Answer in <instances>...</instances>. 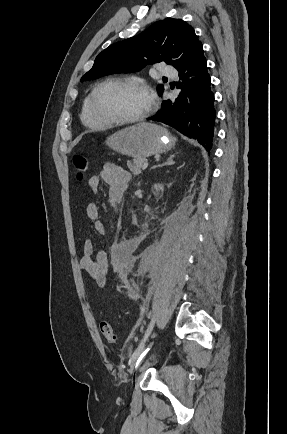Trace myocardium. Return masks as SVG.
Listing matches in <instances>:
<instances>
[{
    "instance_id": "f54148a6",
    "label": "myocardium",
    "mask_w": 287,
    "mask_h": 434,
    "mask_svg": "<svg viewBox=\"0 0 287 434\" xmlns=\"http://www.w3.org/2000/svg\"><path fill=\"white\" fill-rule=\"evenodd\" d=\"M109 85H122V86L136 87V88H140V89L144 90L148 94V89H147V86L145 85V83H143L142 81L137 80V79L110 78V79L104 80L103 82L99 83L93 89V91L90 93L88 106H89V111H90V114L92 115V117L94 119H96L97 121H99L102 125H120V126H122V125L136 124V123H139V122L145 120L150 115V113L152 112V109H153V105H152L151 100L149 102V106L147 107V109L138 116H135L132 118H127V119H114V118H109V117L103 116L97 110L96 100H97V97H98V94L100 93V91Z\"/></svg>"
}]
</instances>
